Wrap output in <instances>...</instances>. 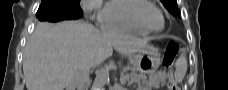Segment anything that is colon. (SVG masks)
<instances>
[{
    "label": "colon",
    "instance_id": "colon-1",
    "mask_svg": "<svg viewBox=\"0 0 228 90\" xmlns=\"http://www.w3.org/2000/svg\"><path fill=\"white\" fill-rule=\"evenodd\" d=\"M179 52L178 43L171 41L167 44L164 54V66L168 71V89L169 90H180L179 86L174 80L172 74V66Z\"/></svg>",
    "mask_w": 228,
    "mask_h": 90
}]
</instances>
